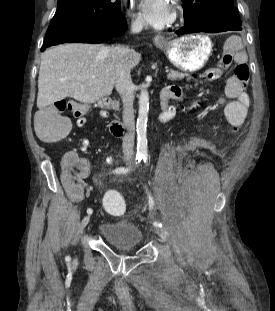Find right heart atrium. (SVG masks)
Segmentation results:
<instances>
[{
	"label": "right heart atrium",
	"mask_w": 275,
	"mask_h": 311,
	"mask_svg": "<svg viewBox=\"0 0 275 311\" xmlns=\"http://www.w3.org/2000/svg\"><path fill=\"white\" fill-rule=\"evenodd\" d=\"M128 16L130 18L131 27H133L135 29H140L142 27V25H143L142 19L138 15L134 14L131 11L130 7L128 8Z\"/></svg>",
	"instance_id": "right-heart-atrium-1"
}]
</instances>
